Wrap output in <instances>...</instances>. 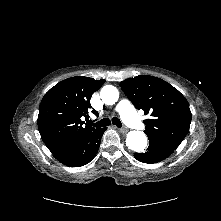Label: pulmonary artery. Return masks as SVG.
Segmentation results:
<instances>
[{
    "instance_id": "1",
    "label": "pulmonary artery",
    "mask_w": 221,
    "mask_h": 221,
    "mask_svg": "<svg viewBox=\"0 0 221 221\" xmlns=\"http://www.w3.org/2000/svg\"><path fill=\"white\" fill-rule=\"evenodd\" d=\"M116 110L120 114L122 120L132 128L135 129H143L144 122L142 119L137 115L135 109L133 108L130 101L123 99L121 100L117 106Z\"/></svg>"
}]
</instances>
